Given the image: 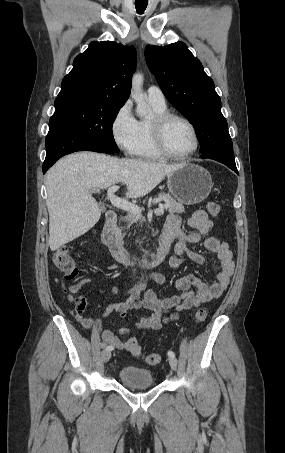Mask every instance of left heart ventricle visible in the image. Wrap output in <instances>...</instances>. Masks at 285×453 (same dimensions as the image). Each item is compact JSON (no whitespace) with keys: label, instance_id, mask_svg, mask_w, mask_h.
Segmentation results:
<instances>
[{"label":"left heart ventricle","instance_id":"left-heart-ventricle-1","mask_svg":"<svg viewBox=\"0 0 285 453\" xmlns=\"http://www.w3.org/2000/svg\"><path fill=\"white\" fill-rule=\"evenodd\" d=\"M166 144L169 150L175 154L189 152L194 146V138L191 129L180 120H172L165 132Z\"/></svg>","mask_w":285,"mask_h":453}]
</instances>
